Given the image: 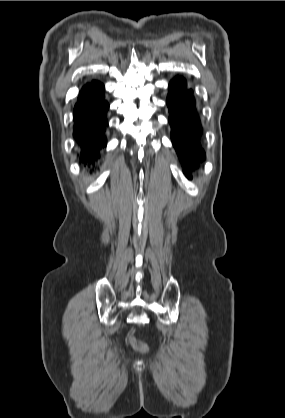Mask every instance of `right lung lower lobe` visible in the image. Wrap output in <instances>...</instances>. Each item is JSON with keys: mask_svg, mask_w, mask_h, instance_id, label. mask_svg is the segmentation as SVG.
I'll use <instances>...</instances> for the list:
<instances>
[{"mask_svg": "<svg viewBox=\"0 0 285 418\" xmlns=\"http://www.w3.org/2000/svg\"><path fill=\"white\" fill-rule=\"evenodd\" d=\"M104 85L98 81L86 83L79 91L73 109V137L79 147V159L92 166L107 144L105 129L108 102L104 99Z\"/></svg>", "mask_w": 285, "mask_h": 418, "instance_id": "1", "label": "right lung lower lobe"}]
</instances>
